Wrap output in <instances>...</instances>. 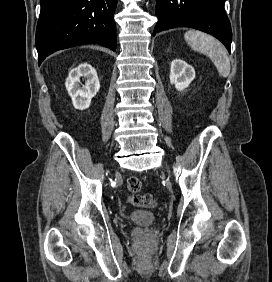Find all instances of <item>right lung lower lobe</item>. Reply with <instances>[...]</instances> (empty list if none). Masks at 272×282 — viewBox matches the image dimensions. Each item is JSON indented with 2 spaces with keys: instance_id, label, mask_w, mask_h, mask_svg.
Listing matches in <instances>:
<instances>
[{
  "instance_id": "right-lung-lower-lobe-1",
  "label": "right lung lower lobe",
  "mask_w": 272,
  "mask_h": 282,
  "mask_svg": "<svg viewBox=\"0 0 272 282\" xmlns=\"http://www.w3.org/2000/svg\"><path fill=\"white\" fill-rule=\"evenodd\" d=\"M36 29L40 65L51 53L84 43L116 51L117 0H40Z\"/></svg>"
}]
</instances>
